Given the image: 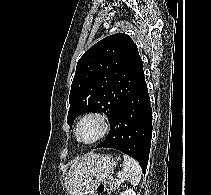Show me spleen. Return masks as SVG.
<instances>
[{
  "label": "spleen",
  "instance_id": "1",
  "mask_svg": "<svg viewBox=\"0 0 211 195\" xmlns=\"http://www.w3.org/2000/svg\"><path fill=\"white\" fill-rule=\"evenodd\" d=\"M123 169L118 177L137 185L141 180L142 170L139 163L128 155H124Z\"/></svg>",
  "mask_w": 211,
  "mask_h": 195
}]
</instances>
